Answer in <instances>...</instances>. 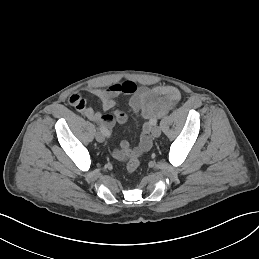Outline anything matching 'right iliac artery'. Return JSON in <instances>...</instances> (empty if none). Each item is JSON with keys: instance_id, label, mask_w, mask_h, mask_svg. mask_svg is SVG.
I'll return each mask as SVG.
<instances>
[{"instance_id": "obj_1", "label": "right iliac artery", "mask_w": 259, "mask_h": 259, "mask_svg": "<svg viewBox=\"0 0 259 259\" xmlns=\"http://www.w3.org/2000/svg\"><path fill=\"white\" fill-rule=\"evenodd\" d=\"M99 129L104 136L110 137L111 133L106 128L100 126Z\"/></svg>"}]
</instances>
